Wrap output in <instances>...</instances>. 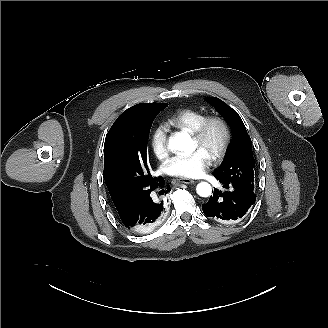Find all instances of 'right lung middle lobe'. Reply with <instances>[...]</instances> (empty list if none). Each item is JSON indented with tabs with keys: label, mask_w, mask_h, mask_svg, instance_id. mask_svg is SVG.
<instances>
[{
	"label": "right lung middle lobe",
	"mask_w": 328,
	"mask_h": 328,
	"mask_svg": "<svg viewBox=\"0 0 328 328\" xmlns=\"http://www.w3.org/2000/svg\"><path fill=\"white\" fill-rule=\"evenodd\" d=\"M168 104H137L123 112L106 135L104 179L111 195L139 202L154 190L158 179L150 174L147 141L152 122Z\"/></svg>",
	"instance_id": "1"
}]
</instances>
